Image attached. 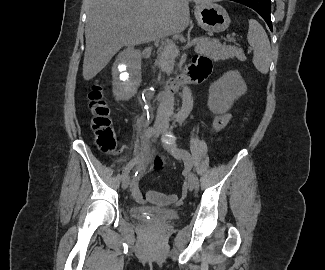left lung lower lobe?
Returning <instances> with one entry per match:
<instances>
[{
    "label": "left lung lower lobe",
    "instance_id": "1",
    "mask_svg": "<svg viewBox=\"0 0 325 270\" xmlns=\"http://www.w3.org/2000/svg\"><path fill=\"white\" fill-rule=\"evenodd\" d=\"M241 4H244L254 9L268 24L272 31V22L270 17L271 1L270 0H231Z\"/></svg>",
    "mask_w": 325,
    "mask_h": 270
}]
</instances>
